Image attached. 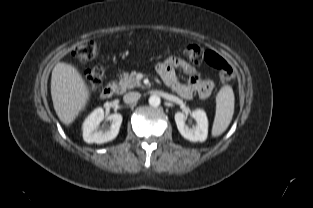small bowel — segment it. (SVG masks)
Segmentation results:
<instances>
[{
    "mask_svg": "<svg viewBox=\"0 0 313 208\" xmlns=\"http://www.w3.org/2000/svg\"><path fill=\"white\" fill-rule=\"evenodd\" d=\"M177 68H181L189 75L186 83L178 80L175 73V69ZM157 72L163 82L184 99H190L195 94H198L201 98H207L214 87L210 79L202 78L194 67L177 57H170L159 63L157 65Z\"/></svg>",
    "mask_w": 313,
    "mask_h": 208,
    "instance_id": "c3829d8e",
    "label": "small bowel"
}]
</instances>
